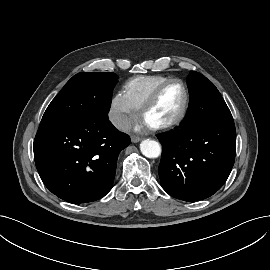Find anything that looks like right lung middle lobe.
I'll use <instances>...</instances> for the list:
<instances>
[{
	"instance_id": "1",
	"label": "right lung middle lobe",
	"mask_w": 270,
	"mask_h": 270,
	"mask_svg": "<svg viewBox=\"0 0 270 270\" xmlns=\"http://www.w3.org/2000/svg\"><path fill=\"white\" fill-rule=\"evenodd\" d=\"M118 76L111 72L74 75L47 107L42 120H80L108 114Z\"/></svg>"
}]
</instances>
